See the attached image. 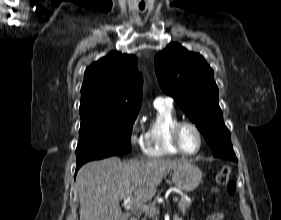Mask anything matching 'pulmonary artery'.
<instances>
[{"label": "pulmonary artery", "instance_id": "1", "mask_svg": "<svg viewBox=\"0 0 281 220\" xmlns=\"http://www.w3.org/2000/svg\"><path fill=\"white\" fill-rule=\"evenodd\" d=\"M154 103H168L171 104L172 103V99L169 97H165V96H159L155 99Z\"/></svg>", "mask_w": 281, "mask_h": 220}]
</instances>
